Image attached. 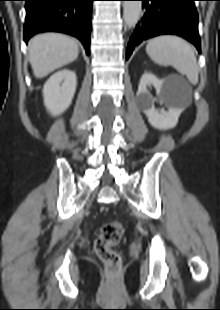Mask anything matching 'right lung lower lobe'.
Segmentation results:
<instances>
[{
	"instance_id": "1",
	"label": "right lung lower lobe",
	"mask_w": 220,
	"mask_h": 310,
	"mask_svg": "<svg viewBox=\"0 0 220 310\" xmlns=\"http://www.w3.org/2000/svg\"><path fill=\"white\" fill-rule=\"evenodd\" d=\"M24 41L41 32L55 31L77 37L89 54L91 10L94 0H24Z\"/></svg>"
}]
</instances>
